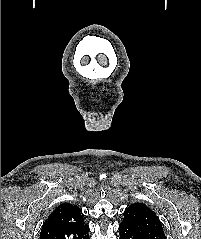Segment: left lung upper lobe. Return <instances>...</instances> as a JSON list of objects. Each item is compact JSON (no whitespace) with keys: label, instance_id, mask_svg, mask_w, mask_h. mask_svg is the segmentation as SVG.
Returning a JSON list of instances; mask_svg holds the SVG:
<instances>
[{"label":"left lung upper lobe","instance_id":"obj_1","mask_svg":"<svg viewBox=\"0 0 201 239\" xmlns=\"http://www.w3.org/2000/svg\"><path fill=\"white\" fill-rule=\"evenodd\" d=\"M122 223L130 225L148 239H166L159 218L143 203H135L126 208Z\"/></svg>","mask_w":201,"mask_h":239}]
</instances>
